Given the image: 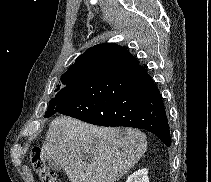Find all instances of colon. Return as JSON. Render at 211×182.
Instances as JSON below:
<instances>
[{"instance_id": "colon-1", "label": "colon", "mask_w": 211, "mask_h": 182, "mask_svg": "<svg viewBox=\"0 0 211 182\" xmlns=\"http://www.w3.org/2000/svg\"><path fill=\"white\" fill-rule=\"evenodd\" d=\"M30 159L34 170L38 173L42 182H59L55 172L50 170L45 164L41 148H33L30 152Z\"/></svg>"}]
</instances>
